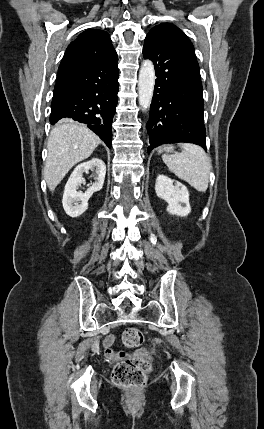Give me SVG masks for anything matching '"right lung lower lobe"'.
<instances>
[{
    "mask_svg": "<svg viewBox=\"0 0 264 429\" xmlns=\"http://www.w3.org/2000/svg\"><path fill=\"white\" fill-rule=\"evenodd\" d=\"M116 51L98 62L57 80L50 123L71 118L87 124L111 148L112 121L119 89Z\"/></svg>",
    "mask_w": 264,
    "mask_h": 429,
    "instance_id": "98d812e1",
    "label": "right lung lower lobe"
}]
</instances>
